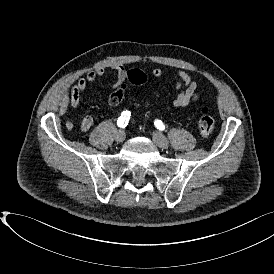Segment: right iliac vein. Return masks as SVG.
Returning <instances> with one entry per match:
<instances>
[{
  "instance_id": "right-iliac-vein-1",
  "label": "right iliac vein",
  "mask_w": 274,
  "mask_h": 274,
  "mask_svg": "<svg viewBox=\"0 0 274 274\" xmlns=\"http://www.w3.org/2000/svg\"><path fill=\"white\" fill-rule=\"evenodd\" d=\"M115 140H116L118 143H122V142L125 140V132H124L123 130H119V131L116 133Z\"/></svg>"
}]
</instances>
